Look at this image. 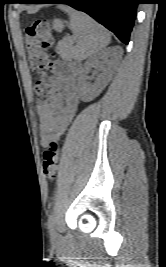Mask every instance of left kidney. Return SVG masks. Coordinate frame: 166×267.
I'll use <instances>...</instances> for the list:
<instances>
[{
  "instance_id": "obj_1",
  "label": "left kidney",
  "mask_w": 166,
  "mask_h": 267,
  "mask_svg": "<svg viewBox=\"0 0 166 267\" xmlns=\"http://www.w3.org/2000/svg\"><path fill=\"white\" fill-rule=\"evenodd\" d=\"M108 58V51L95 54L84 65L78 78V91L82 101L90 102L95 99L107 86L110 81V69L105 66V60ZM102 60V61H101ZM94 67L101 71L93 84L86 82L88 70Z\"/></svg>"
}]
</instances>
